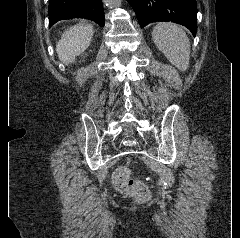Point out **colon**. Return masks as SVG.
<instances>
[{
    "label": "colon",
    "mask_w": 240,
    "mask_h": 238,
    "mask_svg": "<svg viewBox=\"0 0 240 238\" xmlns=\"http://www.w3.org/2000/svg\"><path fill=\"white\" fill-rule=\"evenodd\" d=\"M113 183L121 193L133 199L145 201L150 197L148 186L140 180L133 179L130 170L125 166L116 169Z\"/></svg>",
    "instance_id": "5ec220e1"
}]
</instances>
